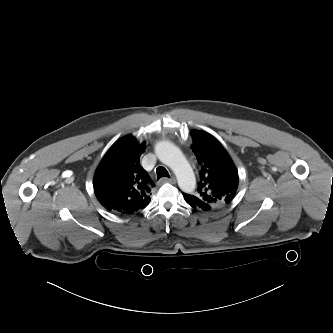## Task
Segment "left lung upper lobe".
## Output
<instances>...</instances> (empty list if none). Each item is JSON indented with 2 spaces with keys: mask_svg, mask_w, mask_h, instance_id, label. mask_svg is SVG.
Listing matches in <instances>:
<instances>
[{
  "mask_svg": "<svg viewBox=\"0 0 333 333\" xmlns=\"http://www.w3.org/2000/svg\"><path fill=\"white\" fill-rule=\"evenodd\" d=\"M193 149L201 165L200 180L194 195L185 194L210 205L212 209L228 205L238 188V172L230 156L211 134L192 130Z\"/></svg>",
  "mask_w": 333,
  "mask_h": 333,
  "instance_id": "5c2ea615",
  "label": "left lung upper lobe"
}]
</instances>
